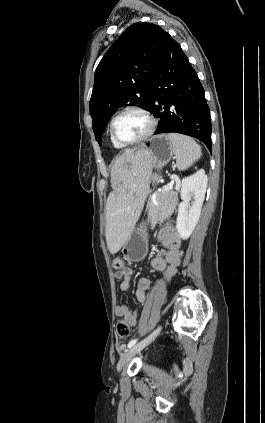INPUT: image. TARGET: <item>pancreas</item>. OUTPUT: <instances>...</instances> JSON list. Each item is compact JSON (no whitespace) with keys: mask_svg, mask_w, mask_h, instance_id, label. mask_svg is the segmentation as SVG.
Masks as SVG:
<instances>
[{"mask_svg":"<svg viewBox=\"0 0 265 423\" xmlns=\"http://www.w3.org/2000/svg\"><path fill=\"white\" fill-rule=\"evenodd\" d=\"M156 203L150 199L148 203L149 224L162 222L165 218L170 217L176 210L178 204V193L172 190H162L155 197Z\"/></svg>","mask_w":265,"mask_h":423,"instance_id":"pancreas-1","label":"pancreas"}]
</instances>
